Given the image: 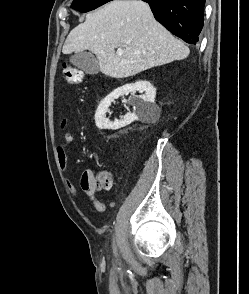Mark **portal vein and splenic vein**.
Masks as SVG:
<instances>
[{"mask_svg": "<svg viewBox=\"0 0 249 294\" xmlns=\"http://www.w3.org/2000/svg\"><path fill=\"white\" fill-rule=\"evenodd\" d=\"M122 53H123V50H122L121 48L117 49L116 54H117L118 56H121Z\"/></svg>", "mask_w": 249, "mask_h": 294, "instance_id": "obj_1", "label": "portal vein and splenic vein"}]
</instances>
